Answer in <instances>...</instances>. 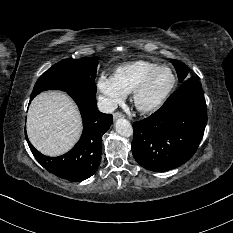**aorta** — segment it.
Wrapping results in <instances>:
<instances>
[{
    "instance_id": "obj_1",
    "label": "aorta",
    "mask_w": 233,
    "mask_h": 233,
    "mask_svg": "<svg viewBox=\"0 0 233 233\" xmlns=\"http://www.w3.org/2000/svg\"><path fill=\"white\" fill-rule=\"evenodd\" d=\"M116 132L123 137H130L133 135V128L130 122L124 118H120L115 123Z\"/></svg>"
}]
</instances>
